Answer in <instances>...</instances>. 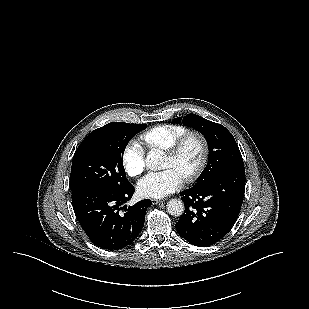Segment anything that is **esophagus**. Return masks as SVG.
Returning a JSON list of instances; mask_svg holds the SVG:
<instances>
[{
  "label": "esophagus",
  "mask_w": 309,
  "mask_h": 309,
  "mask_svg": "<svg viewBox=\"0 0 309 309\" xmlns=\"http://www.w3.org/2000/svg\"><path fill=\"white\" fill-rule=\"evenodd\" d=\"M152 204L157 205L158 203L162 202L161 200L158 199H152Z\"/></svg>",
  "instance_id": "34e87169"
}]
</instances>
